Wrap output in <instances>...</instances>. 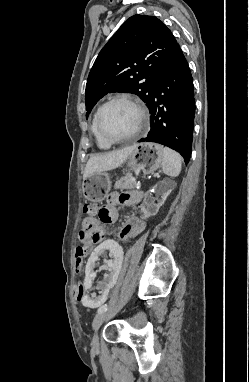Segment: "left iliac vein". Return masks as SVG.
Masks as SVG:
<instances>
[{
  "label": "left iliac vein",
  "mask_w": 249,
  "mask_h": 382,
  "mask_svg": "<svg viewBox=\"0 0 249 382\" xmlns=\"http://www.w3.org/2000/svg\"><path fill=\"white\" fill-rule=\"evenodd\" d=\"M106 317H107V312L103 311V312H99L93 320L92 326L94 330V335L92 339V346L94 350H97L99 348V340H98L97 331L102 325V323L105 321Z\"/></svg>",
  "instance_id": "4c4485c4"
}]
</instances>
